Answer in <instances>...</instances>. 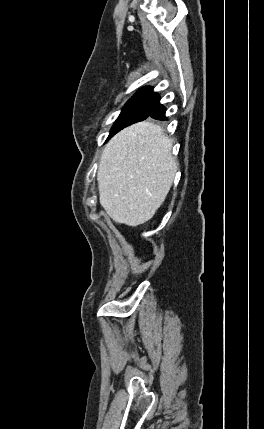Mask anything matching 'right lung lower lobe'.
<instances>
[{"label": "right lung lower lobe", "mask_w": 264, "mask_h": 429, "mask_svg": "<svg viewBox=\"0 0 264 429\" xmlns=\"http://www.w3.org/2000/svg\"><path fill=\"white\" fill-rule=\"evenodd\" d=\"M147 117H152L154 119L158 120H165V108L160 105L159 100L156 102V104L151 109L150 113Z\"/></svg>", "instance_id": "obj_1"}]
</instances>
